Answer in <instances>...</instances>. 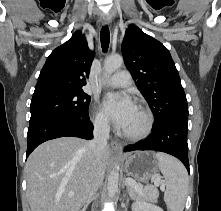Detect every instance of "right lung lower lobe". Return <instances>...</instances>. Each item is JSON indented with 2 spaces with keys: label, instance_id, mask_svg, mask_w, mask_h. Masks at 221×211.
Returning a JSON list of instances; mask_svg holds the SVG:
<instances>
[{
  "label": "right lung lower lobe",
  "instance_id": "1",
  "mask_svg": "<svg viewBox=\"0 0 221 211\" xmlns=\"http://www.w3.org/2000/svg\"><path fill=\"white\" fill-rule=\"evenodd\" d=\"M93 138V125L88 117L72 115H46L30 121L27 133V153H30L41 143L59 137Z\"/></svg>",
  "mask_w": 221,
  "mask_h": 211
}]
</instances>
